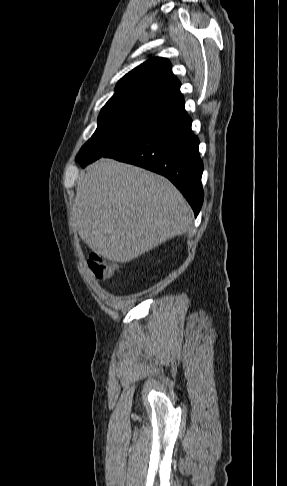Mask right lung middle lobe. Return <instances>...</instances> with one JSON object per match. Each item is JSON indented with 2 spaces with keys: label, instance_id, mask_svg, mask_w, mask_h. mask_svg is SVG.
<instances>
[{
  "label": "right lung middle lobe",
  "instance_id": "obj_1",
  "mask_svg": "<svg viewBox=\"0 0 287 486\" xmlns=\"http://www.w3.org/2000/svg\"><path fill=\"white\" fill-rule=\"evenodd\" d=\"M171 113L149 105L104 106L95 133L81 148L76 161L85 167L136 139Z\"/></svg>",
  "mask_w": 287,
  "mask_h": 486
}]
</instances>
